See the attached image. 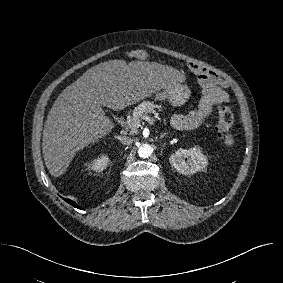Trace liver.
<instances>
[{"label": "liver", "mask_w": 283, "mask_h": 283, "mask_svg": "<svg viewBox=\"0 0 283 283\" xmlns=\"http://www.w3.org/2000/svg\"><path fill=\"white\" fill-rule=\"evenodd\" d=\"M179 81V71L156 62L110 60L87 70L62 91L45 121L42 153L50 174H64L76 152L112 131L102 106L122 110Z\"/></svg>", "instance_id": "liver-1"}]
</instances>
